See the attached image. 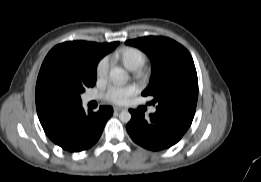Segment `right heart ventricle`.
I'll return each instance as SVG.
<instances>
[{
    "instance_id": "right-heart-ventricle-1",
    "label": "right heart ventricle",
    "mask_w": 261,
    "mask_h": 182,
    "mask_svg": "<svg viewBox=\"0 0 261 182\" xmlns=\"http://www.w3.org/2000/svg\"><path fill=\"white\" fill-rule=\"evenodd\" d=\"M119 60L126 68L135 71L144 65L146 54L139 48L126 47L119 52Z\"/></svg>"
}]
</instances>
